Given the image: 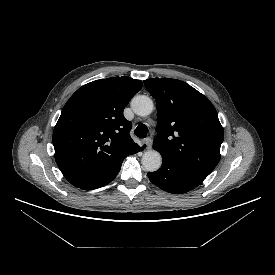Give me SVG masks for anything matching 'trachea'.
<instances>
[{
	"label": "trachea",
	"mask_w": 275,
	"mask_h": 275,
	"mask_svg": "<svg viewBox=\"0 0 275 275\" xmlns=\"http://www.w3.org/2000/svg\"><path fill=\"white\" fill-rule=\"evenodd\" d=\"M134 133L139 138H145L147 136V133H148V128L145 124H139L136 127Z\"/></svg>",
	"instance_id": "trachea-1"
}]
</instances>
